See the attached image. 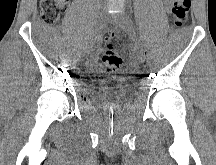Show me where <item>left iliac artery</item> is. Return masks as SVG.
<instances>
[{
    "mask_svg": "<svg viewBox=\"0 0 216 165\" xmlns=\"http://www.w3.org/2000/svg\"><path fill=\"white\" fill-rule=\"evenodd\" d=\"M128 17H129L130 21H131V22H132V24H133V21L131 20L130 16H128Z\"/></svg>",
    "mask_w": 216,
    "mask_h": 165,
    "instance_id": "1",
    "label": "left iliac artery"
}]
</instances>
